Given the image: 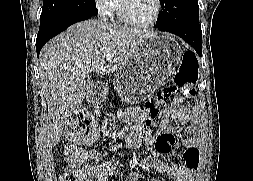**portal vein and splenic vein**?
Masks as SVG:
<instances>
[{
  "instance_id": "portal-vein-and-splenic-vein-1",
  "label": "portal vein and splenic vein",
  "mask_w": 253,
  "mask_h": 181,
  "mask_svg": "<svg viewBox=\"0 0 253 181\" xmlns=\"http://www.w3.org/2000/svg\"><path fill=\"white\" fill-rule=\"evenodd\" d=\"M113 57H114V53H107L105 55V58L107 61H111L113 59Z\"/></svg>"
}]
</instances>
